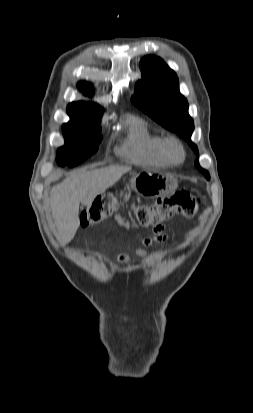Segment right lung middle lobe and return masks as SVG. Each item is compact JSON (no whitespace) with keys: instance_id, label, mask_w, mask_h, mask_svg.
Listing matches in <instances>:
<instances>
[{"instance_id":"right-lung-middle-lobe-1","label":"right lung middle lobe","mask_w":253,"mask_h":413,"mask_svg":"<svg viewBox=\"0 0 253 413\" xmlns=\"http://www.w3.org/2000/svg\"><path fill=\"white\" fill-rule=\"evenodd\" d=\"M99 120L73 121L62 126L65 145L58 150L57 162L74 167L93 155L101 142Z\"/></svg>"}]
</instances>
